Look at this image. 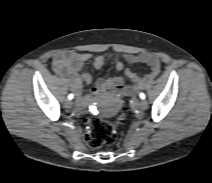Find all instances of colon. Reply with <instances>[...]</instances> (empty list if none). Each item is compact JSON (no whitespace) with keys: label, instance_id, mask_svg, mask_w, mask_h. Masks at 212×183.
I'll use <instances>...</instances> for the list:
<instances>
[{"label":"colon","instance_id":"colon-1","mask_svg":"<svg viewBox=\"0 0 212 183\" xmlns=\"http://www.w3.org/2000/svg\"><path fill=\"white\" fill-rule=\"evenodd\" d=\"M127 109H124L115 119L108 121L93 117L84 121L86 125V142L91 148L113 145L117 139V129L127 122Z\"/></svg>","mask_w":212,"mask_h":183}]
</instances>
